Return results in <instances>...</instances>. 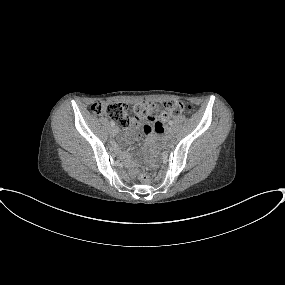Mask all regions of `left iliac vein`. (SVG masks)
Returning <instances> with one entry per match:
<instances>
[{
    "mask_svg": "<svg viewBox=\"0 0 285 285\" xmlns=\"http://www.w3.org/2000/svg\"><path fill=\"white\" fill-rule=\"evenodd\" d=\"M166 134L168 137L172 138L174 136V131L171 127L167 128Z\"/></svg>",
    "mask_w": 285,
    "mask_h": 285,
    "instance_id": "4c4485c4",
    "label": "left iliac vein"
}]
</instances>
